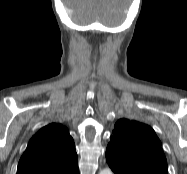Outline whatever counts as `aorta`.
Instances as JSON below:
<instances>
[{
	"label": "aorta",
	"instance_id": "obj_1",
	"mask_svg": "<svg viewBox=\"0 0 187 174\" xmlns=\"http://www.w3.org/2000/svg\"><path fill=\"white\" fill-rule=\"evenodd\" d=\"M99 174H113V172L109 168H105Z\"/></svg>",
	"mask_w": 187,
	"mask_h": 174
}]
</instances>
